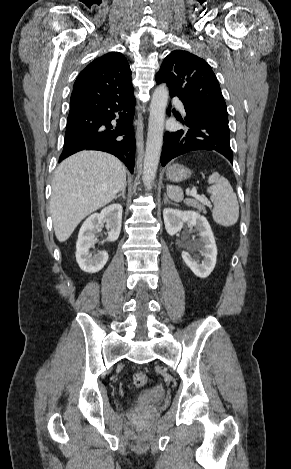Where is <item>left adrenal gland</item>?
I'll return each instance as SVG.
<instances>
[{
  "label": "left adrenal gland",
  "instance_id": "left-adrenal-gland-1",
  "mask_svg": "<svg viewBox=\"0 0 291 469\" xmlns=\"http://www.w3.org/2000/svg\"><path fill=\"white\" fill-rule=\"evenodd\" d=\"M169 203V204H173L171 201L168 200L167 196H166V193H164V204L166 203Z\"/></svg>",
  "mask_w": 291,
  "mask_h": 469
}]
</instances>
